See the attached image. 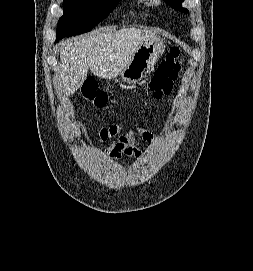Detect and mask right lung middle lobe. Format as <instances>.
Wrapping results in <instances>:
<instances>
[{"instance_id":"dd1d6c3e","label":"right lung middle lobe","mask_w":253,"mask_h":271,"mask_svg":"<svg viewBox=\"0 0 253 271\" xmlns=\"http://www.w3.org/2000/svg\"><path fill=\"white\" fill-rule=\"evenodd\" d=\"M118 0H64L56 41L90 31L116 7Z\"/></svg>"}]
</instances>
